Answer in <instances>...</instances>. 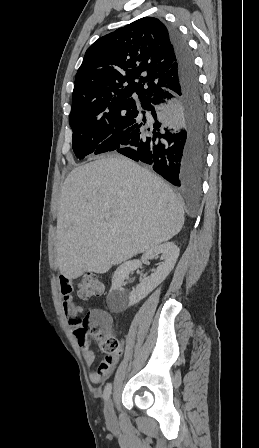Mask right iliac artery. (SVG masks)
<instances>
[{"label":"right iliac artery","instance_id":"obj_1","mask_svg":"<svg viewBox=\"0 0 259 448\" xmlns=\"http://www.w3.org/2000/svg\"><path fill=\"white\" fill-rule=\"evenodd\" d=\"M111 390H112V384H111V383H108V384L106 385L105 389H104V392H103V398H104V400H107V399L110 397Z\"/></svg>","mask_w":259,"mask_h":448}]
</instances>
